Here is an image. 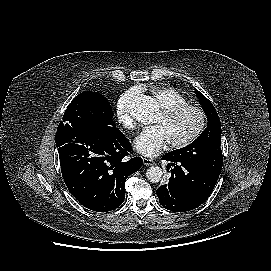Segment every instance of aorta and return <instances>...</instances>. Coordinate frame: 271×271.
<instances>
[{
    "instance_id": "obj_1",
    "label": "aorta",
    "mask_w": 271,
    "mask_h": 271,
    "mask_svg": "<svg viewBox=\"0 0 271 271\" xmlns=\"http://www.w3.org/2000/svg\"><path fill=\"white\" fill-rule=\"evenodd\" d=\"M158 111L157 102L150 96H142L133 106L135 118L144 124L153 122ZM162 169L158 166H151L146 170V177L152 183H158L162 178Z\"/></svg>"
}]
</instances>
